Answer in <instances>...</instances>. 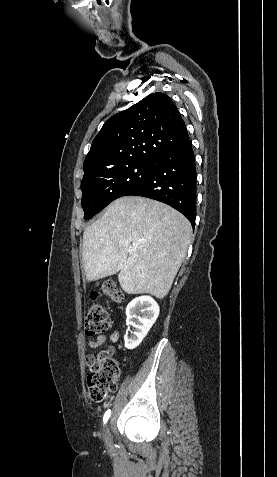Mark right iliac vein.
Instances as JSON below:
<instances>
[{
  "label": "right iliac vein",
  "mask_w": 277,
  "mask_h": 477,
  "mask_svg": "<svg viewBox=\"0 0 277 477\" xmlns=\"http://www.w3.org/2000/svg\"><path fill=\"white\" fill-rule=\"evenodd\" d=\"M103 438L106 442H110V432H109V427L108 425L105 427L104 429V434H103Z\"/></svg>",
  "instance_id": "1"
}]
</instances>
